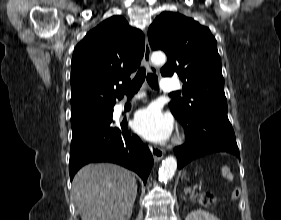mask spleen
Segmentation results:
<instances>
[{
    "label": "spleen",
    "instance_id": "1",
    "mask_svg": "<svg viewBox=\"0 0 281 220\" xmlns=\"http://www.w3.org/2000/svg\"><path fill=\"white\" fill-rule=\"evenodd\" d=\"M221 173H222V176L224 178H227L229 181H232L233 180V175L232 173L230 172V168L227 167V166H223L221 168Z\"/></svg>",
    "mask_w": 281,
    "mask_h": 220
}]
</instances>
